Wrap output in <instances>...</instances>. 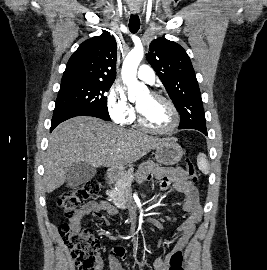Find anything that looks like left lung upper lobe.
<instances>
[{"mask_svg":"<svg viewBox=\"0 0 267 270\" xmlns=\"http://www.w3.org/2000/svg\"><path fill=\"white\" fill-rule=\"evenodd\" d=\"M146 58L180 113L179 129H205L201 94L186 51L173 41L158 38L151 42Z\"/></svg>","mask_w":267,"mask_h":270,"instance_id":"5c2ea615","label":"left lung upper lobe"}]
</instances>
